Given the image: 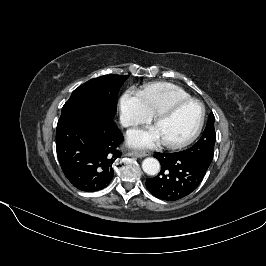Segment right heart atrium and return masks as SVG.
<instances>
[{"mask_svg": "<svg viewBox=\"0 0 266 266\" xmlns=\"http://www.w3.org/2000/svg\"><path fill=\"white\" fill-rule=\"evenodd\" d=\"M152 114L147 109L140 91L130 88L120 99V121L123 126L131 127L147 123Z\"/></svg>", "mask_w": 266, "mask_h": 266, "instance_id": "1", "label": "right heart atrium"}]
</instances>
